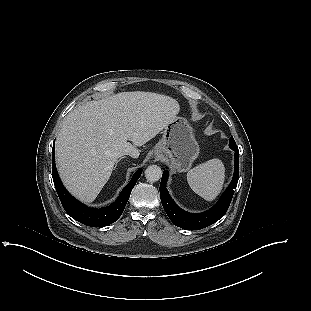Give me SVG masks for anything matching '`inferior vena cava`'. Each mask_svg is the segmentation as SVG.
Here are the masks:
<instances>
[{
  "label": "inferior vena cava",
  "instance_id": "1",
  "mask_svg": "<svg viewBox=\"0 0 311 311\" xmlns=\"http://www.w3.org/2000/svg\"><path fill=\"white\" fill-rule=\"evenodd\" d=\"M138 153V148L136 146H129L127 150V155L129 157H134Z\"/></svg>",
  "mask_w": 311,
  "mask_h": 311
}]
</instances>
